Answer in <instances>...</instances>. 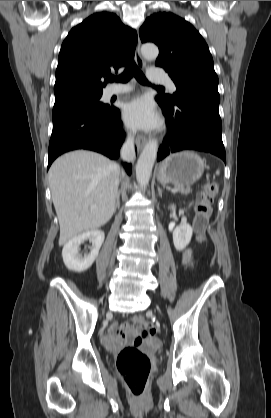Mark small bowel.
Wrapping results in <instances>:
<instances>
[{
    "instance_id": "1",
    "label": "small bowel",
    "mask_w": 271,
    "mask_h": 418,
    "mask_svg": "<svg viewBox=\"0 0 271 418\" xmlns=\"http://www.w3.org/2000/svg\"><path fill=\"white\" fill-rule=\"evenodd\" d=\"M182 263L185 266L192 265V252L190 249H186L182 253ZM138 317L131 319L121 327L112 326L105 337V345L110 350L117 349L128 336L132 335L134 325L139 324ZM140 337H135L134 342L139 345L141 343ZM151 343L156 344V340H151Z\"/></svg>"
}]
</instances>
